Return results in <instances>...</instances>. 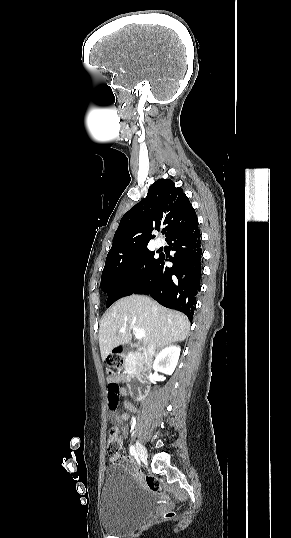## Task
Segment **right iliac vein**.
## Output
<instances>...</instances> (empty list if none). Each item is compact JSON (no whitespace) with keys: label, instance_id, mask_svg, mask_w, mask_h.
<instances>
[{"label":"right iliac vein","instance_id":"right-iliac-vein-1","mask_svg":"<svg viewBox=\"0 0 291 538\" xmlns=\"http://www.w3.org/2000/svg\"><path fill=\"white\" fill-rule=\"evenodd\" d=\"M136 450L138 457L142 461H145L148 457L147 450L139 441L136 442Z\"/></svg>","mask_w":291,"mask_h":538}]
</instances>
